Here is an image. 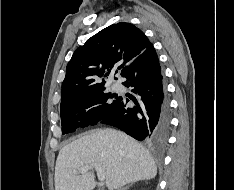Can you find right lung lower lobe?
I'll return each instance as SVG.
<instances>
[{"label": "right lung lower lobe", "mask_w": 234, "mask_h": 190, "mask_svg": "<svg viewBox=\"0 0 234 190\" xmlns=\"http://www.w3.org/2000/svg\"><path fill=\"white\" fill-rule=\"evenodd\" d=\"M122 77L136 97H118L112 113L100 121L115 126L139 141L156 145L165 143L169 130V105L164 94L161 68L153 45L127 67ZM134 106L128 107L129 101Z\"/></svg>", "instance_id": "obj_1"}]
</instances>
